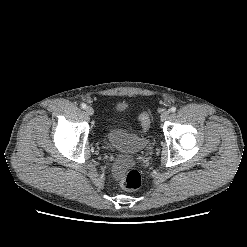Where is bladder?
I'll use <instances>...</instances> for the list:
<instances>
[{
    "instance_id": "1",
    "label": "bladder",
    "mask_w": 247,
    "mask_h": 247,
    "mask_svg": "<svg viewBox=\"0 0 247 247\" xmlns=\"http://www.w3.org/2000/svg\"><path fill=\"white\" fill-rule=\"evenodd\" d=\"M118 110H122V106H119ZM105 138L112 147L130 154L144 151L149 144L147 136L128 133L115 125L106 130Z\"/></svg>"
}]
</instances>
